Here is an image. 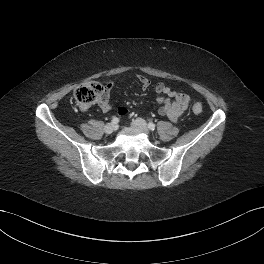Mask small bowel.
Masks as SVG:
<instances>
[{
  "label": "small bowel",
  "instance_id": "1",
  "mask_svg": "<svg viewBox=\"0 0 264 264\" xmlns=\"http://www.w3.org/2000/svg\"><path fill=\"white\" fill-rule=\"evenodd\" d=\"M138 81L141 84L143 90H146L150 86V80L145 76H138ZM113 82H108L106 85V93L104 97L99 101V107L102 111L108 112L111 110L112 105L109 100V94L112 89ZM157 94V100L160 103L158 113L161 116H166L172 121H177L183 113L187 110L191 103V98L189 95L175 91L165 85L164 83H158L155 87ZM83 110L86 108L81 107ZM120 114H124L126 110L124 108L118 109Z\"/></svg>",
  "mask_w": 264,
  "mask_h": 264
}]
</instances>
